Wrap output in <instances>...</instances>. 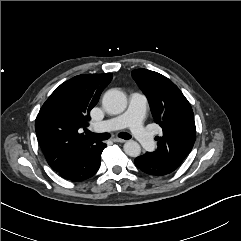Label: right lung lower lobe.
<instances>
[{"mask_svg":"<svg viewBox=\"0 0 241 241\" xmlns=\"http://www.w3.org/2000/svg\"><path fill=\"white\" fill-rule=\"evenodd\" d=\"M104 143H100L87 153L77 154L61 170L56 171L61 177L73 182L82 181L92 177L100 167V158Z\"/></svg>","mask_w":241,"mask_h":241,"instance_id":"obj_1","label":"right lung lower lobe"}]
</instances>
